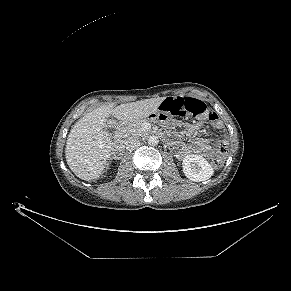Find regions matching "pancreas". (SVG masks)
<instances>
[{"instance_id":"pancreas-1","label":"pancreas","mask_w":291,"mask_h":291,"mask_svg":"<svg viewBox=\"0 0 291 291\" xmlns=\"http://www.w3.org/2000/svg\"><path fill=\"white\" fill-rule=\"evenodd\" d=\"M142 122L130 123L123 126L120 130V135L124 141H126L131 136H139L145 131L141 128Z\"/></svg>"}]
</instances>
